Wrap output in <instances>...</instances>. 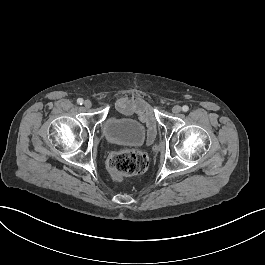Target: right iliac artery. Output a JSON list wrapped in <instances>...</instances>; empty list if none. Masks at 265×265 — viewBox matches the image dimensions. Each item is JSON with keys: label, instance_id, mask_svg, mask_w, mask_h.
Instances as JSON below:
<instances>
[{"label": "right iliac artery", "instance_id": "right-iliac-artery-1", "mask_svg": "<svg viewBox=\"0 0 265 265\" xmlns=\"http://www.w3.org/2000/svg\"><path fill=\"white\" fill-rule=\"evenodd\" d=\"M83 102H84V101H83V99H82V98H78V99H77V103H78L79 105H82V104H83Z\"/></svg>", "mask_w": 265, "mask_h": 265}]
</instances>
